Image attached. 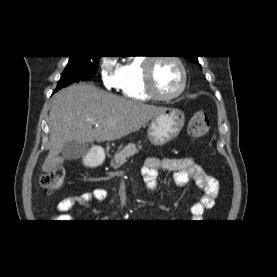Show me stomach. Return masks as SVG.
<instances>
[{
  "label": "stomach",
  "mask_w": 277,
  "mask_h": 277,
  "mask_svg": "<svg viewBox=\"0 0 277 277\" xmlns=\"http://www.w3.org/2000/svg\"><path fill=\"white\" fill-rule=\"evenodd\" d=\"M184 123L185 116L181 110L166 108L151 119L147 129L148 138L155 146L166 144L178 136Z\"/></svg>",
  "instance_id": "1"
}]
</instances>
